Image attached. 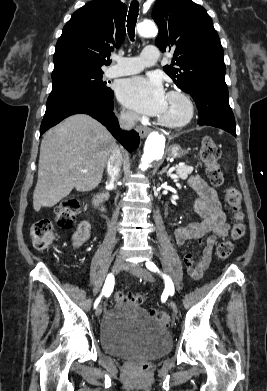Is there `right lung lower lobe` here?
Instances as JSON below:
<instances>
[{
    "label": "right lung lower lobe",
    "mask_w": 267,
    "mask_h": 391,
    "mask_svg": "<svg viewBox=\"0 0 267 391\" xmlns=\"http://www.w3.org/2000/svg\"><path fill=\"white\" fill-rule=\"evenodd\" d=\"M113 93L101 95L83 91H67L48 97L46 112L40 127V135L66 117L84 113L101 122L112 135L132 152L139 143V134L134 130L122 131L113 113Z\"/></svg>",
    "instance_id": "right-lung-lower-lobe-1"
}]
</instances>
